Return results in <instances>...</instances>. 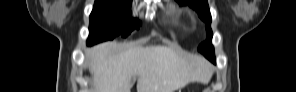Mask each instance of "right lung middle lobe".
I'll use <instances>...</instances> for the list:
<instances>
[{"instance_id": "1", "label": "right lung middle lobe", "mask_w": 296, "mask_h": 92, "mask_svg": "<svg viewBox=\"0 0 296 92\" xmlns=\"http://www.w3.org/2000/svg\"><path fill=\"white\" fill-rule=\"evenodd\" d=\"M130 1L95 0L90 15L88 45L112 40L118 35L126 37L140 22L130 18Z\"/></svg>"}]
</instances>
